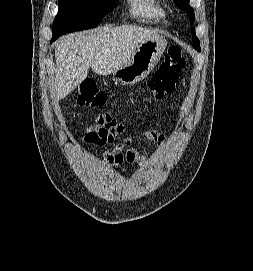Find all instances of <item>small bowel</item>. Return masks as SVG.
Listing matches in <instances>:
<instances>
[{
  "label": "small bowel",
  "instance_id": "c3829d8e",
  "mask_svg": "<svg viewBox=\"0 0 253 271\" xmlns=\"http://www.w3.org/2000/svg\"><path fill=\"white\" fill-rule=\"evenodd\" d=\"M117 135L123 137L122 143L104 153L103 164L107 167L120 165L124 161L144 164L146 157L132 147L133 138L127 130L125 119L116 118L110 114L97 116L94 123L89 127L84 140L91 144L105 145L111 143ZM145 138L161 148H164L167 144L166 136L159 130L146 131Z\"/></svg>",
  "mask_w": 253,
  "mask_h": 271
}]
</instances>
